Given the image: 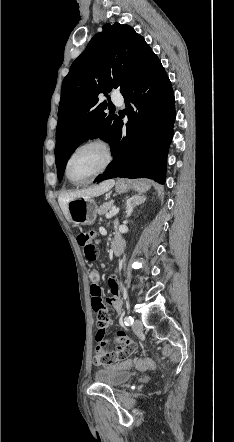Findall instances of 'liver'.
I'll list each match as a JSON object with an SVG mask.
<instances>
[{
	"label": "liver",
	"instance_id": "obj_1",
	"mask_svg": "<svg viewBox=\"0 0 234 442\" xmlns=\"http://www.w3.org/2000/svg\"><path fill=\"white\" fill-rule=\"evenodd\" d=\"M115 184V181L113 179H109L106 181L101 182L98 185H95L93 187L75 191V192H68L64 193L59 196L58 201L59 205L66 217V219L71 222L69 212H68V203L76 198H83V199H91L93 197H98L107 191H109Z\"/></svg>",
	"mask_w": 234,
	"mask_h": 442
}]
</instances>
